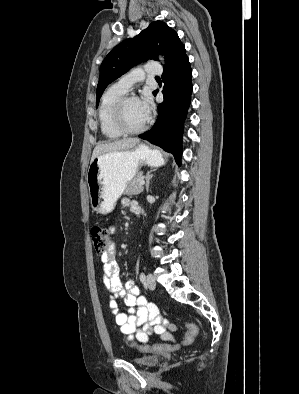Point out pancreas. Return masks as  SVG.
Masks as SVG:
<instances>
[{"label": "pancreas", "instance_id": "cf45deb5", "mask_svg": "<svg viewBox=\"0 0 299 394\" xmlns=\"http://www.w3.org/2000/svg\"><path fill=\"white\" fill-rule=\"evenodd\" d=\"M143 179V173L139 172L137 175L126 185L125 195H137L143 191V186L140 185V181Z\"/></svg>", "mask_w": 299, "mask_h": 394}]
</instances>
